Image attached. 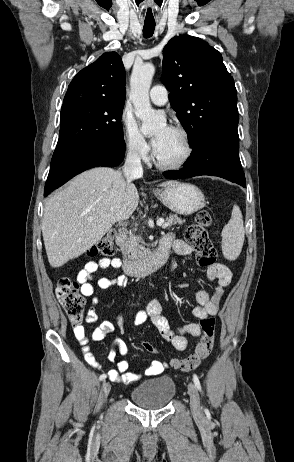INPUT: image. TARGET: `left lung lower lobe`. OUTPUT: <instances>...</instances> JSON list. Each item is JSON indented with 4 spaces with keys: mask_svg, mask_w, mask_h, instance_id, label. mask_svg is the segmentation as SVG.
I'll return each instance as SVG.
<instances>
[{
    "mask_svg": "<svg viewBox=\"0 0 294 462\" xmlns=\"http://www.w3.org/2000/svg\"><path fill=\"white\" fill-rule=\"evenodd\" d=\"M238 115H233L217 125L193 146L195 152L190 156L184 168L178 171H166L167 178H187L200 175L218 176L243 187L245 175L238 156Z\"/></svg>",
    "mask_w": 294,
    "mask_h": 462,
    "instance_id": "1",
    "label": "left lung lower lobe"
}]
</instances>
